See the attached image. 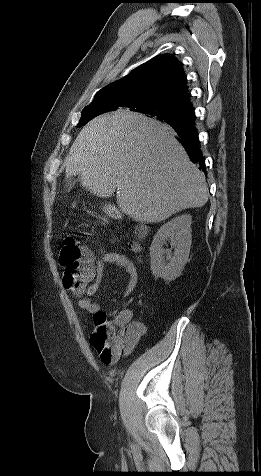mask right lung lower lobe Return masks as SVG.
<instances>
[{"label":"right lung lower lobe","instance_id":"1","mask_svg":"<svg viewBox=\"0 0 261 476\" xmlns=\"http://www.w3.org/2000/svg\"><path fill=\"white\" fill-rule=\"evenodd\" d=\"M194 110L186 111L185 115L178 121L168 123L177 133L178 140L185 148L191 161L200 166L205 172L204 157L200 150V142L195 128Z\"/></svg>","mask_w":261,"mask_h":476}]
</instances>
